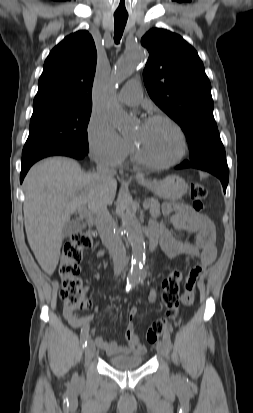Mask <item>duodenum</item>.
Masks as SVG:
<instances>
[{
  "label": "duodenum",
  "mask_w": 253,
  "mask_h": 413,
  "mask_svg": "<svg viewBox=\"0 0 253 413\" xmlns=\"http://www.w3.org/2000/svg\"><path fill=\"white\" fill-rule=\"evenodd\" d=\"M157 245V236L154 233H150L148 247L149 251H153Z\"/></svg>",
  "instance_id": "obj_1"
}]
</instances>
